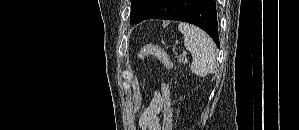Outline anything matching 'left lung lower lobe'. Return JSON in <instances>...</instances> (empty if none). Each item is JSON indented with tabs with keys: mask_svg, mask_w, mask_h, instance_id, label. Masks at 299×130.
<instances>
[{
	"mask_svg": "<svg viewBox=\"0 0 299 130\" xmlns=\"http://www.w3.org/2000/svg\"><path fill=\"white\" fill-rule=\"evenodd\" d=\"M150 18L192 23L207 32L219 46L215 0H149V10L141 21Z\"/></svg>",
	"mask_w": 299,
	"mask_h": 130,
	"instance_id": "obj_1",
	"label": "left lung lower lobe"
}]
</instances>
